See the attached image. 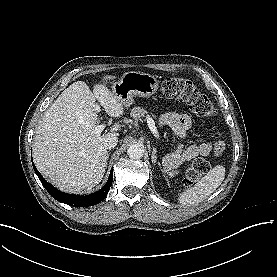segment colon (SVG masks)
<instances>
[{
	"instance_id": "5ec220e1",
	"label": "colon",
	"mask_w": 277,
	"mask_h": 277,
	"mask_svg": "<svg viewBox=\"0 0 277 277\" xmlns=\"http://www.w3.org/2000/svg\"><path fill=\"white\" fill-rule=\"evenodd\" d=\"M161 90L166 98H178L187 102L199 117L211 118L216 114L212 101L187 78L168 77L162 82ZM210 167V164L203 159L195 160L183 180L184 186L196 183L210 170Z\"/></svg>"
}]
</instances>
